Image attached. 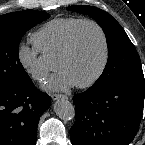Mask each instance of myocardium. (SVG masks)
Wrapping results in <instances>:
<instances>
[{
  "instance_id": "f54148a6",
  "label": "myocardium",
  "mask_w": 145,
  "mask_h": 145,
  "mask_svg": "<svg viewBox=\"0 0 145 145\" xmlns=\"http://www.w3.org/2000/svg\"><path fill=\"white\" fill-rule=\"evenodd\" d=\"M87 24L94 26L100 33L102 42H103L104 55H103L102 63L100 65L99 69L97 70V72L94 74V76L86 82L76 84V87L80 88V89H86V88H89V87H92L93 85H95L101 79V77L103 76V74L105 73V71L108 67L111 52H110L109 39H108L107 33H106L105 29L103 28V26L93 19H81L72 28V30L70 31V33L67 36V39H66L62 49L55 56V59L68 56L73 49L75 37H76V34H77L79 28L81 26L87 25Z\"/></svg>"
}]
</instances>
